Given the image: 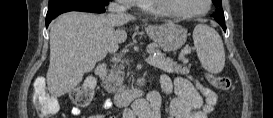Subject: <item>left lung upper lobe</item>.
Masks as SVG:
<instances>
[{
	"instance_id": "5c2ea615",
	"label": "left lung upper lobe",
	"mask_w": 273,
	"mask_h": 118,
	"mask_svg": "<svg viewBox=\"0 0 273 118\" xmlns=\"http://www.w3.org/2000/svg\"><path fill=\"white\" fill-rule=\"evenodd\" d=\"M216 7L215 13L212 15L219 24H222L225 22L224 20V12L222 10V2L221 0H212Z\"/></svg>"
}]
</instances>
